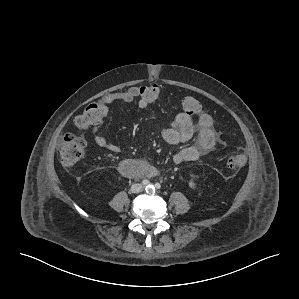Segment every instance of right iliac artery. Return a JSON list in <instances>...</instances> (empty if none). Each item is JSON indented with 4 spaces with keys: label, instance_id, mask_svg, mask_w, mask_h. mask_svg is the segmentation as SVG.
I'll return each mask as SVG.
<instances>
[{
    "label": "right iliac artery",
    "instance_id": "obj_1",
    "mask_svg": "<svg viewBox=\"0 0 299 299\" xmlns=\"http://www.w3.org/2000/svg\"><path fill=\"white\" fill-rule=\"evenodd\" d=\"M149 183L150 182L148 180H146V179L142 181V184L145 185V186H148Z\"/></svg>",
    "mask_w": 299,
    "mask_h": 299
}]
</instances>
